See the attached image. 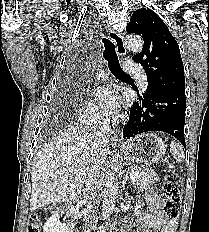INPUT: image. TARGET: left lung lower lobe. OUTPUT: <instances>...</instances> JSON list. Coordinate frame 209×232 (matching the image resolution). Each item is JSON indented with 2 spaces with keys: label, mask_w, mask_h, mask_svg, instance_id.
Wrapping results in <instances>:
<instances>
[{
  "label": "left lung lower lobe",
  "mask_w": 209,
  "mask_h": 232,
  "mask_svg": "<svg viewBox=\"0 0 209 232\" xmlns=\"http://www.w3.org/2000/svg\"><path fill=\"white\" fill-rule=\"evenodd\" d=\"M185 96L172 92H148L135 101L123 128L125 140L143 132L162 131L185 147Z\"/></svg>",
  "instance_id": "obj_1"
}]
</instances>
